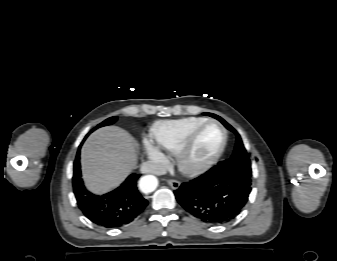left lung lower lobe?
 <instances>
[{
	"label": "left lung lower lobe",
	"instance_id": "left-lung-lower-lobe-1",
	"mask_svg": "<svg viewBox=\"0 0 337 261\" xmlns=\"http://www.w3.org/2000/svg\"><path fill=\"white\" fill-rule=\"evenodd\" d=\"M251 184L228 167L214 166L174 191L177 201L201 221L219 225L233 220L243 209Z\"/></svg>",
	"mask_w": 337,
	"mask_h": 261
}]
</instances>
